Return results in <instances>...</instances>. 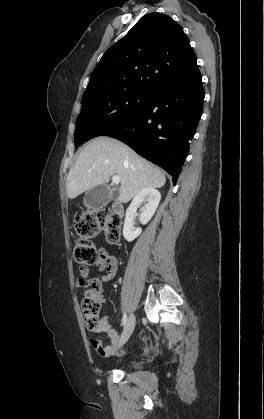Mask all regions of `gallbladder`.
<instances>
[{"label": "gallbladder", "instance_id": "gallbladder-1", "mask_svg": "<svg viewBox=\"0 0 264 419\" xmlns=\"http://www.w3.org/2000/svg\"><path fill=\"white\" fill-rule=\"evenodd\" d=\"M118 191L110 189L107 185H99L87 191L84 196V205L90 209H100L108 204L111 197H117Z\"/></svg>", "mask_w": 264, "mask_h": 419}]
</instances>
